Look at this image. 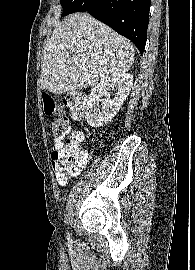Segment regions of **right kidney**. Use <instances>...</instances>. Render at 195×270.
<instances>
[{
  "mask_svg": "<svg viewBox=\"0 0 195 270\" xmlns=\"http://www.w3.org/2000/svg\"><path fill=\"white\" fill-rule=\"evenodd\" d=\"M132 85L133 76L128 73L98 83L91 90L85 107L87 123L97 128L110 122L129 95ZM114 90H116L115 96L110 99V93ZM102 96H105V99H101ZM99 103H101V111Z\"/></svg>",
  "mask_w": 195,
  "mask_h": 270,
  "instance_id": "right-kidney-1",
  "label": "right kidney"
}]
</instances>
